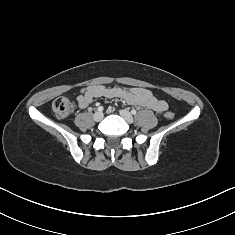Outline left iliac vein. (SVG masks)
<instances>
[{
  "label": "left iliac vein",
  "instance_id": "4c4485c4",
  "mask_svg": "<svg viewBox=\"0 0 235 235\" xmlns=\"http://www.w3.org/2000/svg\"><path fill=\"white\" fill-rule=\"evenodd\" d=\"M119 113H120L121 117H123L124 120L126 122H128L129 124L134 122V118L129 111L123 109V110H120Z\"/></svg>",
  "mask_w": 235,
  "mask_h": 235
}]
</instances>
